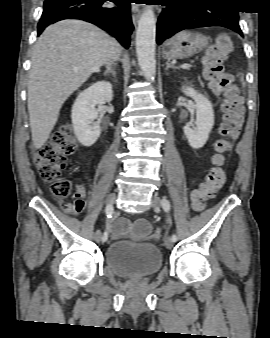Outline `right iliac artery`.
<instances>
[{
    "mask_svg": "<svg viewBox=\"0 0 270 338\" xmlns=\"http://www.w3.org/2000/svg\"><path fill=\"white\" fill-rule=\"evenodd\" d=\"M113 210H114V209H113L112 204L106 206L105 214H106V219H107V221L112 217V215H113ZM107 239H108V234H107V232L105 231L104 234H103V236H102V240H103V241H106Z\"/></svg>",
    "mask_w": 270,
    "mask_h": 338,
    "instance_id": "82829eb1",
    "label": "right iliac artery"
}]
</instances>
